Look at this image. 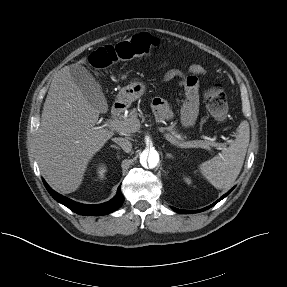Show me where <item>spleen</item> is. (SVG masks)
<instances>
[{
  "label": "spleen",
  "instance_id": "spleen-1",
  "mask_svg": "<svg viewBox=\"0 0 287 287\" xmlns=\"http://www.w3.org/2000/svg\"><path fill=\"white\" fill-rule=\"evenodd\" d=\"M250 140V127L242 121L237 128L235 140L212 159L203 162L199 170L217 189H227L237 179L243 166Z\"/></svg>",
  "mask_w": 287,
  "mask_h": 287
}]
</instances>
